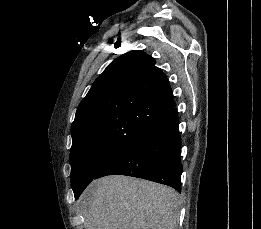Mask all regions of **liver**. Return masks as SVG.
<instances>
[{
	"label": "liver",
	"mask_w": 261,
	"mask_h": 229,
	"mask_svg": "<svg viewBox=\"0 0 261 229\" xmlns=\"http://www.w3.org/2000/svg\"><path fill=\"white\" fill-rule=\"evenodd\" d=\"M85 229H177L181 195L165 185L103 177L82 197Z\"/></svg>",
	"instance_id": "6515ba94"
}]
</instances>
